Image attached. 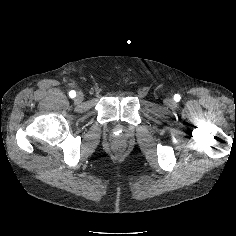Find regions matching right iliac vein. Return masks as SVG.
Segmentation results:
<instances>
[{
  "instance_id": "63e3f726",
  "label": "right iliac vein",
  "mask_w": 236,
  "mask_h": 236,
  "mask_svg": "<svg viewBox=\"0 0 236 236\" xmlns=\"http://www.w3.org/2000/svg\"><path fill=\"white\" fill-rule=\"evenodd\" d=\"M83 99H84L83 93L78 92V94L76 95V98H75V102L76 103H81L83 101Z\"/></svg>"
}]
</instances>
